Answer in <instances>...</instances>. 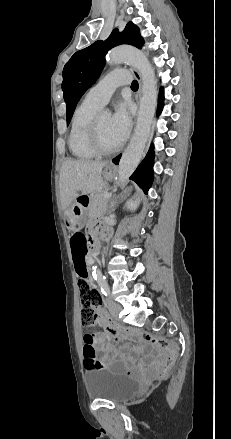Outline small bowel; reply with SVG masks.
<instances>
[{"instance_id":"small-bowel-1","label":"small bowel","mask_w":231,"mask_h":439,"mask_svg":"<svg viewBox=\"0 0 231 439\" xmlns=\"http://www.w3.org/2000/svg\"><path fill=\"white\" fill-rule=\"evenodd\" d=\"M82 237L83 239L86 238L83 235H78ZM93 240V236H89V241L91 242ZM71 251H72V257L74 260V263L76 266L78 265H85V256L88 249L83 251V244L81 243L79 253L76 254V248L73 240H71ZM86 266V265H85ZM96 318L97 320L102 323L105 326L106 332L105 333H95V334H86L83 338V355L86 357L87 351H92L95 356V360L98 361L100 364H102V368H111L115 371H122L126 372L128 374L136 373L133 370V361L132 359H126L125 355H121L118 357V352L114 347L113 344V336L112 332L110 331V327L113 324L110 317L108 316L107 312L103 307H99L96 311ZM97 352L101 353V358L97 360ZM113 357L115 358L113 361H109V358Z\"/></svg>"}]
</instances>
